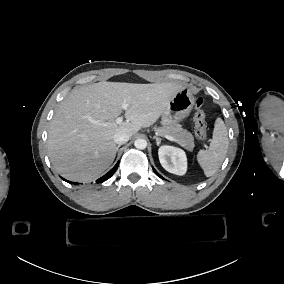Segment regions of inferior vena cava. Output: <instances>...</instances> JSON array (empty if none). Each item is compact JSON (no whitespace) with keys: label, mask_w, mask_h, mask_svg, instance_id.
Returning <instances> with one entry per match:
<instances>
[{"label":"inferior vena cava","mask_w":284,"mask_h":284,"mask_svg":"<svg viewBox=\"0 0 284 284\" xmlns=\"http://www.w3.org/2000/svg\"><path fill=\"white\" fill-rule=\"evenodd\" d=\"M113 139L117 144L122 145V144L127 143L130 137L127 133L118 132L114 135Z\"/></svg>","instance_id":"inferior-vena-cava-1"}]
</instances>
